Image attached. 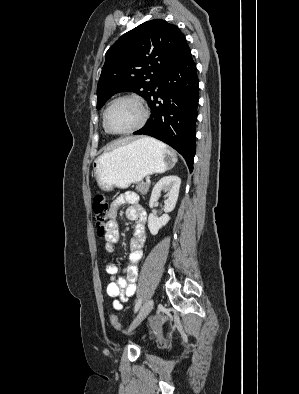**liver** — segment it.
I'll return each instance as SVG.
<instances>
[{
    "instance_id": "1",
    "label": "liver",
    "mask_w": 299,
    "mask_h": 394,
    "mask_svg": "<svg viewBox=\"0 0 299 394\" xmlns=\"http://www.w3.org/2000/svg\"><path fill=\"white\" fill-rule=\"evenodd\" d=\"M131 140H132L131 138L124 139V140L118 142L117 145H121V144L124 145V144H127V143H129Z\"/></svg>"
}]
</instances>
